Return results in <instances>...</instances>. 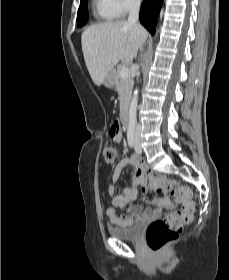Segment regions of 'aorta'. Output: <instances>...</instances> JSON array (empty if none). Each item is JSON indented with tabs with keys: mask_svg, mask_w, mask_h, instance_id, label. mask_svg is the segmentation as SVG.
I'll return each instance as SVG.
<instances>
[{
	"mask_svg": "<svg viewBox=\"0 0 229 280\" xmlns=\"http://www.w3.org/2000/svg\"><path fill=\"white\" fill-rule=\"evenodd\" d=\"M138 88L134 90L133 97L130 103L129 108V122H128V128L134 129L136 126V113H137V103H138Z\"/></svg>",
	"mask_w": 229,
	"mask_h": 280,
	"instance_id": "aorta-1",
	"label": "aorta"
}]
</instances>
